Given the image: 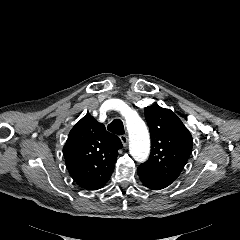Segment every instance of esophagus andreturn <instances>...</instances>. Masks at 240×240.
<instances>
[{
  "mask_svg": "<svg viewBox=\"0 0 240 240\" xmlns=\"http://www.w3.org/2000/svg\"><path fill=\"white\" fill-rule=\"evenodd\" d=\"M120 140H121L122 144H123L124 146H126L127 143H128V136H127V135H121V136H120Z\"/></svg>",
  "mask_w": 240,
  "mask_h": 240,
  "instance_id": "esophagus-1",
  "label": "esophagus"
}]
</instances>
